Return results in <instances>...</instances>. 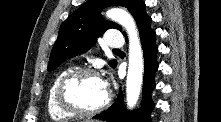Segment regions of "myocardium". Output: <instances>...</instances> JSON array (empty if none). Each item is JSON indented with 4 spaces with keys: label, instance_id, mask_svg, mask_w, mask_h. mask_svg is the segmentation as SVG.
<instances>
[{
    "label": "myocardium",
    "instance_id": "1",
    "mask_svg": "<svg viewBox=\"0 0 221 122\" xmlns=\"http://www.w3.org/2000/svg\"><path fill=\"white\" fill-rule=\"evenodd\" d=\"M83 75H93L101 78L100 73L93 68L79 67L71 69L61 78L57 85L56 100L59 107L68 113L77 116H93L102 112L108 107L111 101V94L109 91H107L104 101L99 106L92 109H85L75 104L68 95V88L74 82V80Z\"/></svg>",
    "mask_w": 221,
    "mask_h": 122
}]
</instances>
